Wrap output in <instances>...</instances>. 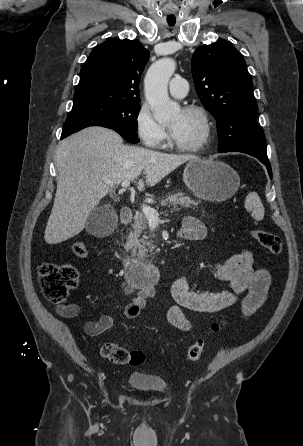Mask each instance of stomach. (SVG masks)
Returning a JSON list of instances; mask_svg holds the SVG:
<instances>
[{
  "instance_id": "stomach-1",
  "label": "stomach",
  "mask_w": 303,
  "mask_h": 446,
  "mask_svg": "<svg viewBox=\"0 0 303 446\" xmlns=\"http://www.w3.org/2000/svg\"><path fill=\"white\" fill-rule=\"evenodd\" d=\"M183 181L198 198L221 202L232 197L240 177L229 165L212 159H192L183 172Z\"/></svg>"
}]
</instances>
